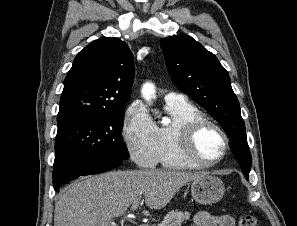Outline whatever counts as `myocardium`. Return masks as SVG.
<instances>
[{
	"mask_svg": "<svg viewBox=\"0 0 297 226\" xmlns=\"http://www.w3.org/2000/svg\"><path fill=\"white\" fill-rule=\"evenodd\" d=\"M206 127L216 129L223 139L220 155L210 161L202 159L196 152L197 136ZM176 136L183 157L198 168H208L217 165L224 159L229 148V137L226 131L216 121L207 118L196 119L182 125L177 129Z\"/></svg>",
	"mask_w": 297,
	"mask_h": 226,
	"instance_id": "myocardium-1",
	"label": "myocardium"
}]
</instances>
